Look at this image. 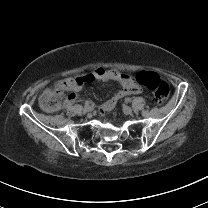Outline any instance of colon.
Returning <instances> with one entry per match:
<instances>
[{
  "mask_svg": "<svg viewBox=\"0 0 208 208\" xmlns=\"http://www.w3.org/2000/svg\"><path fill=\"white\" fill-rule=\"evenodd\" d=\"M136 81L145 86L158 102L164 101L170 92L168 83L157 73L151 71H142L135 75ZM78 87L82 88L83 85ZM74 92V81L72 79H63L56 82L50 89H46L38 98V108L42 112L57 111L59 102L63 97H68Z\"/></svg>",
  "mask_w": 208,
  "mask_h": 208,
  "instance_id": "5ec220e1",
  "label": "colon"
}]
</instances>
